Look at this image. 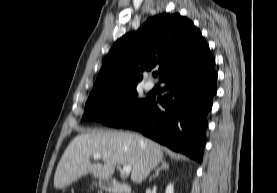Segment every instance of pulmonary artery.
Returning a JSON list of instances; mask_svg holds the SVG:
<instances>
[{"mask_svg":"<svg viewBox=\"0 0 277 193\" xmlns=\"http://www.w3.org/2000/svg\"><path fill=\"white\" fill-rule=\"evenodd\" d=\"M154 87H155V84L152 80L147 81L145 84V88L147 90H152Z\"/></svg>","mask_w":277,"mask_h":193,"instance_id":"pulmonary-artery-1","label":"pulmonary artery"}]
</instances>
